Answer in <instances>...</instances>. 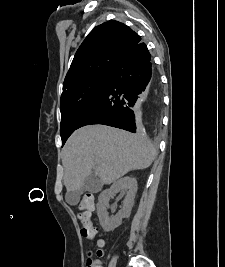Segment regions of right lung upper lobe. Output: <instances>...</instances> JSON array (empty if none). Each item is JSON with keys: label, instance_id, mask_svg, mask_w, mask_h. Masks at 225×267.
Segmentation results:
<instances>
[{"label": "right lung upper lobe", "instance_id": "1", "mask_svg": "<svg viewBox=\"0 0 225 267\" xmlns=\"http://www.w3.org/2000/svg\"><path fill=\"white\" fill-rule=\"evenodd\" d=\"M141 37L118 21L96 26L77 50L63 90L85 79L111 73L121 55L140 43Z\"/></svg>", "mask_w": 225, "mask_h": 267}]
</instances>
